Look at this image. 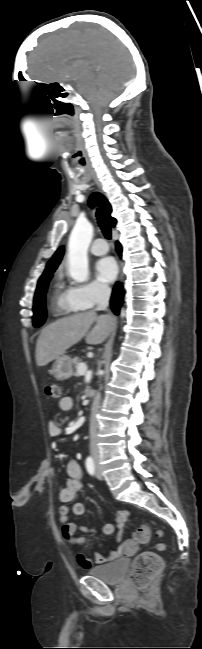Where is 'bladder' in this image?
Wrapping results in <instances>:
<instances>
[{
	"label": "bladder",
	"mask_w": 202,
	"mask_h": 649,
	"mask_svg": "<svg viewBox=\"0 0 202 649\" xmlns=\"http://www.w3.org/2000/svg\"><path fill=\"white\" fill-rule=\"evenodd\" d=\"M128 567V559H118L114 562L91 568L89 575L107 584H117L123 579Z\"/></svg>",
	"instance_id": "obj_1"
}]
</instances>
